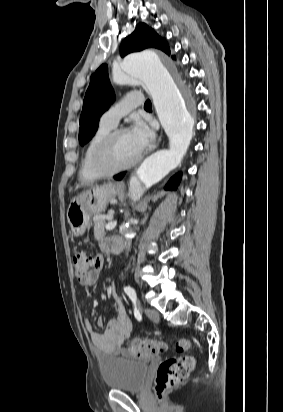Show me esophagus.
I'll use <instances>...</instances> for the list:
<instances>
[{
    "mask_svg": "<svg viewBox=\"0 0 283 412\" xmlns=\"http://www.w3.org/2000/svg\"><path fill=\"white\" fill-rule=\"evenodd\" d=\"M161 138H162V134H160L159 139H158V142L161 141Z\"/></svg>",
    "mask_w": 283,
    "mask_h": 412,
    "instance_id": "34e87169",
    "label": "esophagus"
}]
</instances>
